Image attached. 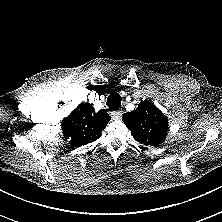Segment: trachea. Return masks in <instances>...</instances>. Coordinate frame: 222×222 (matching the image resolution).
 Returning a JSON list of instances; mask_svg holds the SVG:
<instances>
[{
  "label": "trachea",
  "mask_w": 222,
  "mask_h": 222,
  "mask_svg": "<svg viewBox=\"0 0 222 222\" xmlns=\"http://www.w3.org/2000/svg\"><path fill=\"white\" fill-rule=\"evenodd\" d=\"M111 110H118L121 107V96L117 92H112L106 102Z\"/></svg>",
  "instance_id": "3493384b"
}]
</instances>
